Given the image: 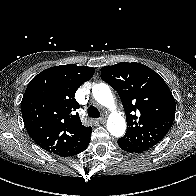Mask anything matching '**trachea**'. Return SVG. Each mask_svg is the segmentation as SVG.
<instances>
[{
    "mask_svg": "<svg viewBox=\"0 0 196 196\" xmlns=\"http://www.w3.org/2000/svg\"><path fill=\"white\" fill-rule=\"evenodd\" d=\"M88 116L90 118H99L100 112L95 106H90L87 110Z\"/></svg>",
    "mask_w": 196,
    "mask_h": 196,
    "instance_id": "trachea-1",
    "label": "trachea"
}]
</instances>
